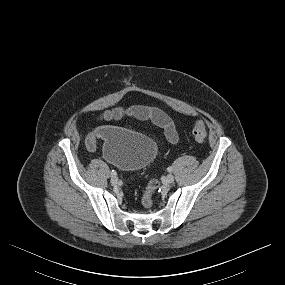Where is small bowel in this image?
<instances>
[{"mask_svg": "<svg viewBox=\"0 0 285 285\" xmlns=\"http://www.w3.org/2000/svg\"><path fill=\"white\" fill-rule=\"evenodd\" d=\"M126 117H134L143 121H151L154 125L163 129L166 139L171 144L178 143L179 136L172 119L160 108L141 104L130 108H113L105 111L100 118L105 121H120ZM104 126L97 127L85 139L86 148L94 151L97 148L98 140L103 138Z\"/></svg>", "mask_w": 285, "mask_h": 285, "instance_id": "c3829d8e", "label": "small bowel"}]
</instances>
